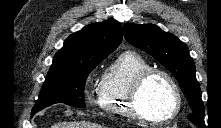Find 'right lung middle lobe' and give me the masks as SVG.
Here are the masks:
<instances>
[{"instance_id":"obj_1","label":"right lung middle lobe","mask_w":221,"mask_h":128,"mask_svg":"<svg viewBox=\"0 0 221 128\" xmlns=\"http://www.w3.org/2000/svg\"><path fill=\"white\" fill-rule=\"evenodd\" d=\"M104 59V58H103ZM49 71L31 116L55 103L85 107L84 86L88 74L103 60Z\"/></svg>"}]
</instances>
